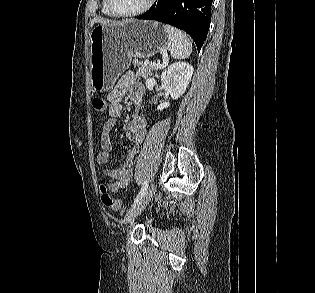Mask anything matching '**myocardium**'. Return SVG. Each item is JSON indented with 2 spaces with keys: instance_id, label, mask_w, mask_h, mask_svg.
<instances>
[{
  "instance_id": "f54148a6",
  "label": "myocardium",
  "mask_w": 315,
  "mask_h": 293,
  "mask_svg": "<svg viewBox=\"0 0 315 293\" xmlns=\"http://www.w3.org/2000/svg\"><path fill=\"white\" fill-rule=\"evenodd\" d=\"M155 0H147L146 4L141 7L140 9L133 11V12H119L118 10L115 9L113 0H106L107 8L110 11L111 14H113L116 17H135L144 14L147 12L151 7L153 6Z\"/></svg>"
}]
</instances>
